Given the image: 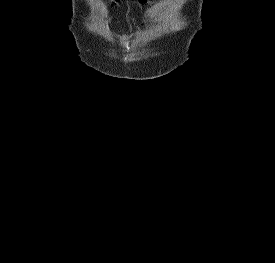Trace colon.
I'll use <instances>...</instances> for the list:
<instances>
[{"label": "colon", "instance_id": "5ec220e1", "mask_svg": "<svg viewBox=\"0 0 275 263\" xmlns=\"http://www.w3.org/2000/svg\"><path fill=\"white\" fill-rule=\"evenodd\" d=\"M139 1L142 2V3L148 2V0H139Z\"/></svg>", "mask_w": 275, "mask_h": 263}]
</instances>
